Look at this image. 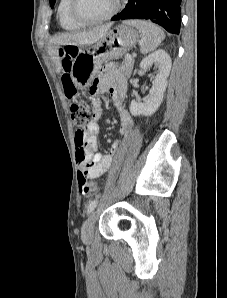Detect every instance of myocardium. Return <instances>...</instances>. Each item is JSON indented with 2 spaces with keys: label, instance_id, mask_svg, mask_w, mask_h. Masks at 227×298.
Instances as JSON below:
<instances>
[{
  "label": "myocardium",
  "instance_id": "myocardium-1",
  "mask_svg": "<svg viewBox=\"0 0 227 298\" xmlns=\"http://www.w3.org/2000/svg\"><path fill=\"white\" fill-rule=\"evenodd\" d=\"M77 2H78V0H70L69 13H70V16L76 22H78L82 25H94V24L106 22V21L110 20L111 18H113L119 12V10L121 9V6H122V0H115L114 7L112 8V10L109 13H107L106 15H104L100 18L87 19V18H84L78 14Z\"/></svg>",
  "mask_w": 227,
  "mask_h": 298
}]
</instances>
